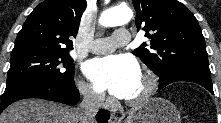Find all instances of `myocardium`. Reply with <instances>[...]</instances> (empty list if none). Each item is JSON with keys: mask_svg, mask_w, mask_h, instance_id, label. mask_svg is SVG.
Listing matches in <instances>:
<instances>
[{"mask_svg": "<svg viewBox=\"0 0 221 123\" xmlns=\"http://www.w3.org/2000/svg\"><path fill=\"white\" fill-rule=\"evenodd\" d=\"M140 76L144 80L146 86L142 94L138 97L124 100V103L130 107H138L147 102L155 94L158 88V79L154 74L144 72Z\"/></svg>", "mask_w": 221, "mask_h": 123, "instance_id": "myocardium-1", "label": "myocardium"}]
</instances>
